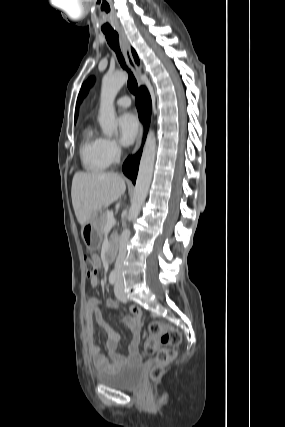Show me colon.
Wrapping results in <instances>:
<instances>
[{
  "label": "colon",
  "mask_w": 285,
  "mask_h": 427,
  "mask_svg": "<svg viewBox=\"0 0 285 427\" xmlns=\"http://www.w3.org/2000/svg\"><path fill=\"white\" fill-rule=\"evenodd\" d=\"M85 275L87 279L95 277L97 263L85 256L83 259ZM148 337L144 342V352L156 355V364L150 372L152 379H157L163 372L164 367L173 360L177 348L181 344V334L174 327L162 321H151L147 327ZM162 345L163 347H159Z\"/></svg>",
  "instance_id": "colon-1"
}]
</instances>
